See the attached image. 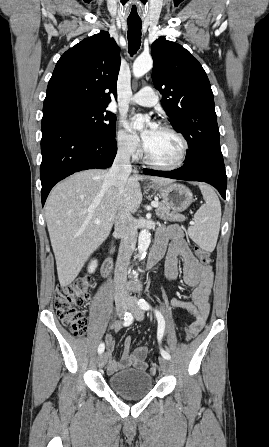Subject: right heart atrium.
Returning <instances> with one entry per match:
<instances>
[{"label":"right heart atrium","mask_w":269,"mask_h":447,"mask_svg":"<svg viewBox=\"0 0 269 447\" xmlns=\"http://www.w3.org/2000/svg\"><path fill=\"white\" fill-rule=\"evenodd\" d=\"M116 143L118 148L127 156L137 158L142 153V142L139 137L128 131L122 121L116 133Z\"/></svg>","instance_id":"obj_1"}]
</instances>
